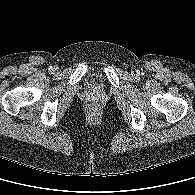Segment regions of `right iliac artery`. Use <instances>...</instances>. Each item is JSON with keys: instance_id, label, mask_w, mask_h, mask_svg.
Listing matches in <instances>:
<instances>
[{"instance_id": "obj_1", "label": "right iliac artery", "mask_w": 195, "mask_h": 195, "mask_svg": "<svg viewBox=\"0 0 195 195\" xmlns=\"http://www.w3.org/2000/svg\"><path fill=\"white\" fill-rule=\"evenodd\" d=\"M48 69L51 71V70H53V67H52V66H49V68H48Z\"/></svg>"}]
</instances>
